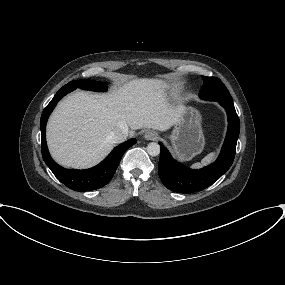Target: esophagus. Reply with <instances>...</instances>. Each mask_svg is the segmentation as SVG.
Instances as JSON below:
<instances>
[{"label":"esophagus","instance_id":"esophagus-1","mask_svg":"<svg viewBox=\"0 0 285 285\" xmlns=\"http://www.w3.org/2000/svg\"><path fill=\"white\" fill-rule=\"evenodd\" d=\"M146 140H156L158 138V133L154 130H148L144 134Z\"/></svg>","mask_w":285,"mask_h":285}]
</instances>
